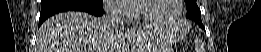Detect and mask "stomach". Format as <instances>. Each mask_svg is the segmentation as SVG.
<instances>
[{"mask_svg":"<svg viewBox=\"0 0 261 52\" xmlns=\"http://www.w3.org/2000/svg\"><path fill=\"white\" fill-rule=\"evenodd\" d=\"M146 28L153 33L148 36L143 52H169L168 47L162 42L161 34L155 28L149 26Z\"/></svg>","mask_w":261,"mask_h":52,"instance_id":"1","label":"stomach"}]
</instances>
